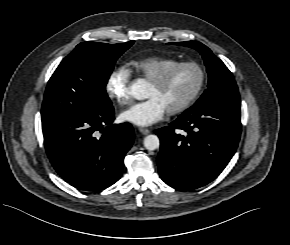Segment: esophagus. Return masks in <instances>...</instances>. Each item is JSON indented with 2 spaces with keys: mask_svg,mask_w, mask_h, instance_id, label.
I'll return each instance as SVG.
<instances>
[{
  "mask_svg": "<svg viewBox=\"0 0 290 245\" xmlns=\"http://www.w3.org/2000/svg\"><path fill=\"white\" fill-rule=\"evenodd\" d=\"M139 131H140V133H142L143 135H147V134L150 133V130H149V129H147V128H143V127H140V128H139Z\"/></svg>",
  "mask_w": 290,
  "mask_h": 245,
  "instance_id": "1",
  "label": "esophagus"
}]
</instances>
